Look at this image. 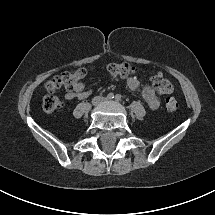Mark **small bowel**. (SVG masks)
Instances as JSON below:
<instances>
[{"mask_svg": "<svg viewBox=\"0 0 215 215\" xmlns=\"http://www.w3.org/2000/svg\"><path fill=\"white\" fill-rule=\"evenodd\" d=\"M127 87L130 90H136L139 87V80L132 76L127 79ZM91 94L90 90H86L84 88V83L83 81H79L74 89L71 91H68L65 95V98L67 100H72V99H84L89 97ZM142 95L144 100L146 101L147 105L149 106L150 109L156 110L160 106V100L154 90L150 86H145L142 90Z\"/></svg>", "mask_w": 215, "mask_h": 215, "instance_id": "small-bowel-1", "label": "small bowel"}]
</instances>
